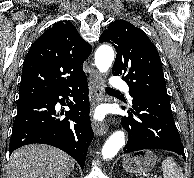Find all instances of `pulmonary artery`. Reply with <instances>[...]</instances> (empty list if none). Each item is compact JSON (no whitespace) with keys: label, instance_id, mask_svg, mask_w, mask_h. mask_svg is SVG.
<instances>
[{"label":"pulmonary artery","instance_id":"1","mask_svg":"<svg viewBox=\"0 0 194 178\" xmlns=\"http://www.w3.org/2000/svg\"><path fill=\"white\" fill-rule=\"evenodd\" d=\"M110 85L114 89H123L126 92H128V87H127L126 83L122 79H120L119 77H117V76H114L111 79Z\"/></svg>","mask_w":194,"mask_h":178}]
</instances>
